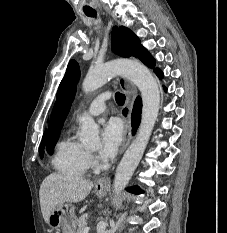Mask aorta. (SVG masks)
<instances>
[{"instance_id":"1","label":"aorta","mask_w":227,"mask_h":233,"mask_svg":"<svg viewBox=\"0 0 227 233\" xmlns=\"http://www.w3.org/2000/svg\"><path fill=\"white\" fill-rule=\"evenodd\" d=\"M117 75L131 80L139 89L142 98V116L139 130L124 153L115 173L113 189L119 193L129 183L136 170L148 144L160 108V91L157 80L143 64L131 60L111 61L101 67L90 70L83 83L85 93H90L106 84ZM81 131L80 141L89 148L97 147L99 140V127L90 116L84 114L79 118ZM116 202V197L113 199Z\"/></svg>"}]
</instances>
